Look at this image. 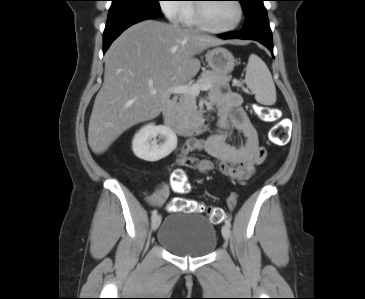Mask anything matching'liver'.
<instances>
[{
  "instance_id": "obj_1",
  "label": "liver",
  "mask_w": 365,
  "mask_h": 299,
  "mask_svg": "<svg viewBox=\"0 0 365 299\" xmlns=\"http://www.w3.org/2000/svg\"><path fill=\"white\" fill-rule=\"evenodd\" d=\"M222 44L213 36L154 20L124 31L105 55L104 82L89 121L91 150L104 153L124 131L159 116L170 90L199 72L194 55Z\"/></svg>"
}]
</instances>
